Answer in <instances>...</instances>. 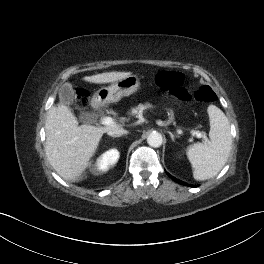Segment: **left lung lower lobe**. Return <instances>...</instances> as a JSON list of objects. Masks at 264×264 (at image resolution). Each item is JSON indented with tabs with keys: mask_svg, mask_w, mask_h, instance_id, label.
Segmentation results:
<instances>
[{
	"mask_svg": "<svg viewBox=\"0 0 264 264\" xmlns=\"http://www.w3.org/2000/svg\"><path fill=\"white\" fill-rule=\"evenodd\" d=\"M167 174H168V173H167ZM168 176H169L172 180H174V181H176V182H178V183H180V184H182V185H186L184 182H182V181H180V180H177L176 178L172 177L171 175L168 174Z\"/></svg>",
	"mask_w": 264,
	"mask_h": 264,
	"instance_id": "1",
	"label": "left lung lower lobe"
}]
</instances>
